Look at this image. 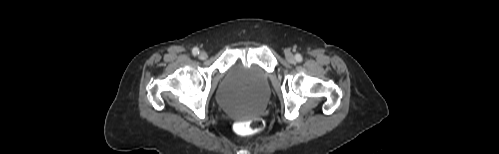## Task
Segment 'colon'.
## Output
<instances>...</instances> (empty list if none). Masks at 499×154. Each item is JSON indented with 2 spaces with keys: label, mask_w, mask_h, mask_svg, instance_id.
I'll return each mask as SVG.
<instances>
[{
  "label": "colon",
  "mask_w": 499,
  "mask_h": 154,
  "mask_svg": "<svg viewBox=\"0 0 499 154\" xmlns=\"http://www.w3.org/2000/svg\"><path fill=\"white\" fill-rule=\"evenodd\" d=\"M264 123L261 119L255 118L247 122H239L235 125V131L240 134H251L263 129Z\"/></svg>",
  "instance_id": "1"
}]
</instances>
